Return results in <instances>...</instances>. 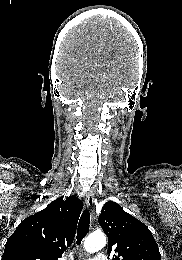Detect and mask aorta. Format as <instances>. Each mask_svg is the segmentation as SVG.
<instances>
[{
  "label": "aorta",
  "mask_w": 182,
  "mask_h": 260,
  "mask_svg": "<svg viewBox=\"0 0 182 260\" xmlns=\"http://www.w3.org/2000/svg\"><path fill=\"white\" fill-rule=\"evenodd\" d=\"M106 245V237L102 233H92L84 241V249L89 253L101 250Z\"/></svg>",
  "instance_id": "aorta-1"
}]
</instances>
